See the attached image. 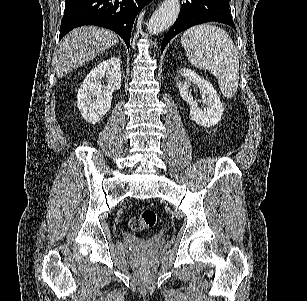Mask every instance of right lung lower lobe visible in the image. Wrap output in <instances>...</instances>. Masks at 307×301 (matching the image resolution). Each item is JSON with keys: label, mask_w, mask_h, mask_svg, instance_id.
Masks as SVG:
<instances>
[{"label": "right lung lower lobe", "mask_w": 307, "mask_h": 301, "mask_svg": "<svg viewBox=\"0 0 307 301\" xmlns=\"http://www.w3.org/2000/svg\"><path fill=\"white\" fill-rule=\"evenodd\" d=\"M151 0H65L59 40L70 30L97 25L113 30L130 45L131 30L138 12Z\"/></svg>", "instance_id": "98d812e1"}]
</instances>
